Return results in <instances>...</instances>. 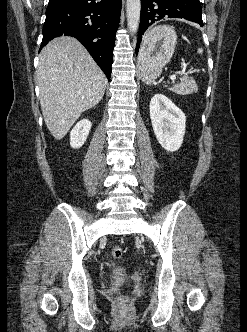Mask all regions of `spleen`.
Masks as SVG:
<instances>
[{"mask_svg":"<svg viewBox=\"0 0 247 332\" xmlns=\"http://www.w3.org/2000/svg\"><path fill=\"white\" fill-rule=\"evenodd\" d=\"M198 52L201 54L203 51H202V49H198ZM152 81H153V80H147V79L144 80V82H145L147 85H151V84H152ZM171 90L174 91V92L177 93V94H181V95H183V94H187V93H189V92H191V91H193V90H197V88L194 87V88L188 89V88H185L182 84H176V85H174V86L172 87Z\"/></svg>","mask_w":247,"mask_h":332,"instance_id":"3e777b00","label":"spleen"}]
</instances>
